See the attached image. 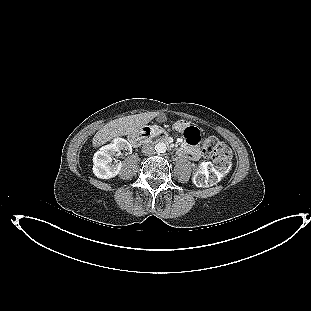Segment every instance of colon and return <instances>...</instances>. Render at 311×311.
Returning <instances> with one entry per match:
<instances>
[{
    "mask_svg": "<svg viewBox=\"0 0 311 311\" xmlns=\"http://www.w3.org/2000/svg\"><path fill=\"white\" fill-rule=\"evenodd\" d=\"M192 140H199L195 128L186 130ZM202 152L211 158V164L201 165L195 174V182L199 186L215 184L230 170L232 165V152L228 146L216 137H208L202 145Z\"/></svg>",
    "mask_w": 311,
    "mask_h": 311,
    "instance_id": "1",
    "label": "colon"
}]
</instances>
